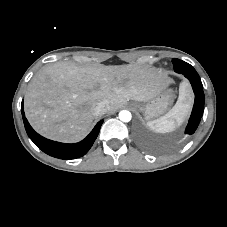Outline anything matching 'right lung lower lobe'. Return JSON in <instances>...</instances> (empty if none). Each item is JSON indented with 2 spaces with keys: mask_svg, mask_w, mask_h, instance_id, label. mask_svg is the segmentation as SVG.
Here are the masks:
<instances>
[{
  "mask_svg": "<svg viewBox=\"0 0 227 227\" xmlns=\"http://www.w3.org/2000/svg\"><path fill=\"white\" fill-rule=\"evenodd\" d=\"M21 113L23 116L24 126L29 138L40 150L50 156L59 159H75L85 155L96 140L100 131V127L103 123V120L99 121L94 127V129L91 131V133L81 142L75 144H65L46 139L33 130L25 117L23 101L21 104Z\"/></svg>",
  "mask_w": 227,
  "mask_h": 227,
  "instance_id": "obj_1",
  "label": "right lung lower lobe"
}]
</instances>
